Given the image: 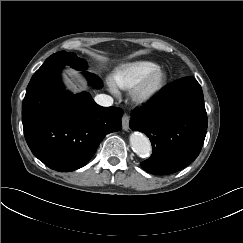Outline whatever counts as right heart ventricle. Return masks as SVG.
I'll return each instance as SVG.
<instances>
[{
	"label": "right heart ventricle",
	"instance_id": "obj_1",
	"mask_svg": "<svg viewBox=\"0 0 243 243\" xmlns=\"http://www.w3.org/2000/svg\"><path fill=\"white\" fill-rule=\"evenodd\" d=\"M158 65L152 61L141 60L126 63L118 68L112 74V84L119 89H130L138 84L147 74L157 69Z\"/></svg>",
	"mask_w": 243,
	"mask_h": 243
}]
</instances>
